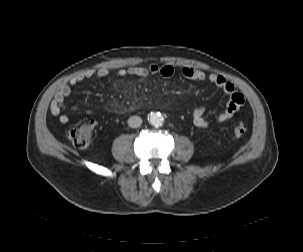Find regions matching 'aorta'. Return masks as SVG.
Wrapping results in <instances>:
<instances>
[{"instance_id":"aorta-1","label":"aorta","mask_w":303,"mask_h":252,"mask_svg":"<svg viewBox=\"0 0 303 252\" xmlns=\"http://www.w3.org/2000/svg\"><path fill=\"white\" fill-rule=\"evenodd\" d=\"M149 123L154 127H160L163 125L164 118L160 113L151 112L148 116Z\"/></svg>"}]
</instances>
